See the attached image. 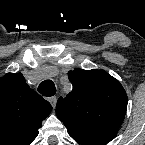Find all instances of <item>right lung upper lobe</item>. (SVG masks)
<instances>
[{
	"mask_svg": "<svg viewBox=\"0 0 145 145\" xmlns=\"http://www.w3.org/2000/svg\"><path fill=\"white\" fill-rule=\"evenodd\" d=\"M51 110L50 103L27 85L21 73L1 77L0 145H29Z\"/></svg>",
	"mask_w": 145,
	"mask_h": 145,
	"instance_id": "obj_1",
	"label": "right lung upper lobe"
}]
</instances>
